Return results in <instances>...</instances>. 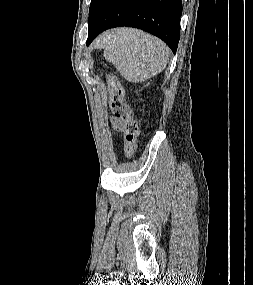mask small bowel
<instances>
[{"label": "small bowel", "instance_id": "1", "mask_svg": "<svg viewBox=\"0 0 253 285\" xmlns=\"http://www.w3.org/2000/svg\"><path fill=\"white\" fill-rule=\"evenodd\" d=\"M111 122H112V125L115 129H117V130L124 129L123 123L121 121H119L118 119L112 118Z\"/></svg>", "mask_w": 253, "mask_h": 285}]
</instances>
